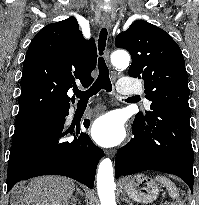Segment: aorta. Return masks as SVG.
I'll return each mask as SVG.
<instances>
[{
    "label": "aorta",
    "instance_id": "aorta-1",
    "mask_svg": "<svg viewBox=\"0 0 199 205\" xmlns=\"http://www.w3.org/2000/svg\"><path fill=\"white\" fill-rule=\"evenodd\" d=\"M130 56L124 50H117L111 55V63L118 68L129 66ZM113 165L109 158L103 159L98 167L97 189L101 205H116Z\"/></svg>",
    "mask_w": 199,
    "mask_h": 205
}]
</instances>
